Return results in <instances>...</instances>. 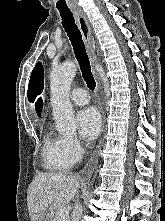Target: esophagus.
<instances>
[{"label":"esophagus","instance_id":"esophagus-1","mask_svg":"<svg viewBox=\"0 0 165 221\" xmlns=\"http://www.w3.org/2000/svg\"><path fill=\"white\" fill-rule=\"evenodd\" d=\"M73 14L81 31L90 62L94 67L97 64L98 55L96 53L95 40L92 36V31L88 19L81 9H74Z\"/></svg>","mask_w":165,"mask_h":221}]
</instances>
